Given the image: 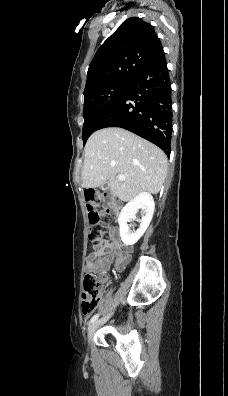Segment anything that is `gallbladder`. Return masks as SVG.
<instances>
[{
	"label": "gallbladder",
	"mask_w": 228,
	"mask_h": 396,
	"mask_svg": "<svg viewBox=\"0 0 228 396\" xmlns=\"http://www.w3.org/2000/svg\"><path fill=\"white\" fill-rule=\"evenodd\" d=\"M100 188H101L102 190H107V189H109V186H108V184H104V185H102Z\"/></svg>",
	"instance_id": "gallbladder-1"
}]
</instances>
